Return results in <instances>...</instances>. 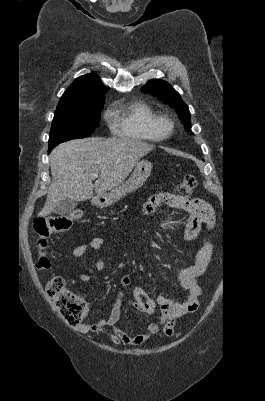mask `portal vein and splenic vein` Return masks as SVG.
<instances>
[{
    "mask_svg": "<svg viewBox=\"0 0 265 401\" xmlns=\"http://www.w3.org/2000/svg\"><path fill=\"white\" fill-rule=\"evenodd\" d=\"M92 176H95V178H97L98 172H94V174H92Z\"/></svg>",
    "mask_w": 265,
    "mask_h": 401,
    "instance_id": "1",
    "label": "portal vein and splenic vein"
}]
</instances>
